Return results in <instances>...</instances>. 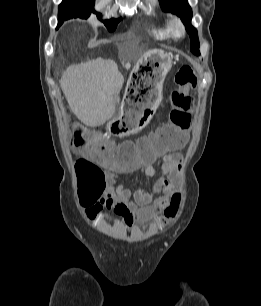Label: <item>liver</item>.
<instances>
[{"mask_svg": "<svg viewBox=\"0 0 261 306\" xmlns=\"http://www.w3.org/2000/svg\"><path fill=\"white\" fill-rule=\"evenodd\" d=\"M123 83L117 64L103 59L71 65L60 80L71 111L91 127L103 125L112 118Z\"/></svg>", "mask_w": 261, "mask_h": 306, "instance_id": "liver-1", "label": "liver"}]
</instances>
